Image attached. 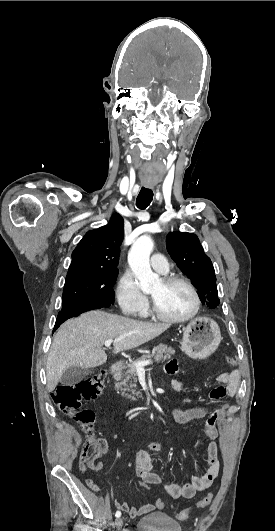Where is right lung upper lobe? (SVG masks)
Here are the masks:
<instances>
[{
  "label": "right lung upper lobe",
  "instance_id": "1",
  "mask_svg": "<svg viewBox=\"0 0 275 531\" xmlns=\"http://www.w3.org/2000/svg\"><path fill=\"white\" fill-rule=\"evenodd\" d=\"M124 238L123 218L115 213L109 223L88 231L72 253L67 274L88 270H117Z\"/></svg>",
  "mask_w": 275,
  "mask_h": 531
}]
</instances>
